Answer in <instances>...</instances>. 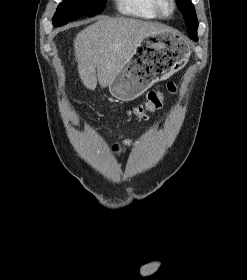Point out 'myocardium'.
I'll return each mask as SVG.
<instances>
[{
	"mask_svg": "<svg viewBox=\"0 0 247 280\" xmlns=\"http://www.w3.org/2000/svg\"><path fill=\"white\" fill-rule=\"evenodd\" d=\"M155 6L160 17L165 19L173 17L177 10L176 0H155ZM166 7H169V11H166Z\"/></svg>",
	"mask_w": 247,
	"mask_h": 280,
	"instance_id": "myocardium-1",
	"label": "myocardium"
}]
</instances>
